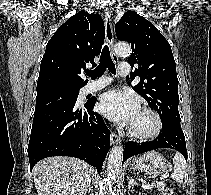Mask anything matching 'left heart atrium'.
Instances as JSON below:
<instances>
[{"mask_svg": "<svg viewBox=\"0 0 211 195\" xmlns=\"http://www.w3.org/2000/svg\"><path fill=\"white\" fill-rule=\"evenodd\" d=\"M99 110L115 123L131 126L140 108L137 99L131 93L110 90L101 96Z\"/></svg>", "mask_w": 211, "mask_h": 195, "instance_id": "obj_1", "label": "left heart atrium"}]
</instances>
